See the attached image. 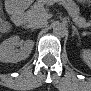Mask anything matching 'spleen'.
Returning a JSON list of instances; mask_svg holds the SVG:
<instances>
[{
    "label": "spleen",
    "mask_w": 91,
    "mask_h": 91,
    "mask_svg": "<svg viewBox=\"0 0 91 91\" xmlns=\"http://www.w3.org/2000/svg\"><path fill=\"white\" fill-rule=\"evenodd\" d=\"M82 58H83V60H84L87 64H89V63H90V59H91V53H90V51L84 49V50L82 51Z\"/></svg>",
    "instance_id": "spleen-1"
}]
</instances>
